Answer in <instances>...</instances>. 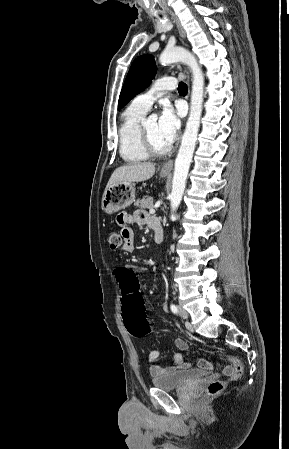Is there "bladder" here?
<instances>
[{
  "label": "bladder",
  "mask_w": 289,
  "mask_h": 449,
  "mask_svg": "<svg viewBox=\"0 0 289 449\" xmlns=\"http://www.w3.org/2000/svg\"><path fill=\"white\" fill-rule=\"evenodd\" d=\"M207 375L200 369H180L152 377L154 387L164 390H174L185 387Z\"/></svg>",
  "instance_id": "obj_1"
}]
</instances>
